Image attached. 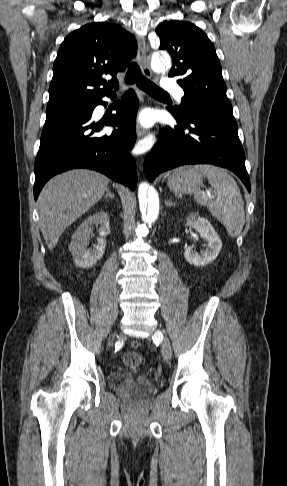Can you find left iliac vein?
I'll return each instance as SVG.
<instances>
[{
	"label": "left iliac vein",
	"mask_w": 287,
	"mask_h": 486,
	"mask_svg": "<svg viewBox=\"0 0 287 486\" xmlns=\"http://www.w3.org/2000/svg\"><path fill=\"white\" fill-rule=\"evenodd\" d=\"M154 337L158 340L162 339V355L165 361H169L171 358V346L169 340L163 336V333L160 330L155 332Z\"/></svg>",
	"instance_id": "1"
}]
</instances>
